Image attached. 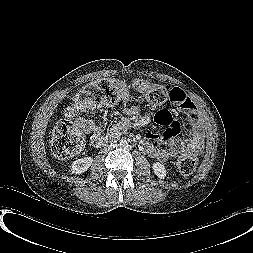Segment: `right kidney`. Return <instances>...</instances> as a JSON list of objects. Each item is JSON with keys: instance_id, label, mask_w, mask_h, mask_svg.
I'll return each mask as SVG.
<instances>
[{"instance_id": "right-kidney-1", "label": "right kidney", "mask_w": 253, "mask_h": 253, "mask_svg": "<svg viewBox=\"0 0 253 253\" xmlns=\"http://www.w3.org/2000/svg\"><path fill=\"white\" fill-rule=\"evenodd\" d=\"M93 158L92 157H83L73 161L71 164V172L74 174H81L88 170V168L92 165Z\"/></svg>"}]
</instances>
